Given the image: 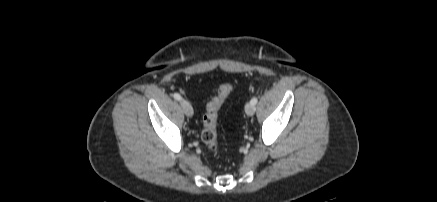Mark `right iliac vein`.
Instances as JSON below:
<instances>
[{"label": "right iliac vein", "instance_id": "right-iliac-vein-1", "mask_svg": "<svg viewBox=\"0 0 437 202\" xmlns=\"http://www.w3.org/2000/svg\"><path fill=\"white\" fill-rule=\"evenodd\" d=\"M181 106L186 116L188 117L193 116V108L187 100H181Z\"/></svg>", "mask_w": 437, "mask_h": 202}]
</instances>
